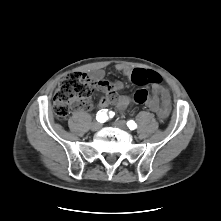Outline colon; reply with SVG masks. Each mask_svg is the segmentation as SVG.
<instances>
[{"label":"colon","instance_id":"5ec220e1","mask_svg":"<svg viewBox=\"0 0 221 221\" xmlns=\"http://www.w3.org/2000/svg\"><path fill=\"white\" fill-rule=\"evenodd\" d=\"M131 79L136 83H140L144 79H147L152 84H159L162 81L157 72L142 71L140 69H135L132 72ZM91 93V85L84 75L77 72L66 75L62 79L53 99L54 112L57 118L64 119L76 104H81L82 107L88 108V98ZM148 95L147 89L140 88L135 91L134 100L138 104H144L148 100Z\"/></svg>","mask_w":221,"mask_h":221}]
</instances>
